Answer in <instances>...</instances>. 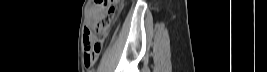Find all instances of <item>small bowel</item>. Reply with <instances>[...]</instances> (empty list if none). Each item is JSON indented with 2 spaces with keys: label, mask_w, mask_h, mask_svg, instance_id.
<instances>
[{
  "label": "small bowel",
  "mask_w": 267,
  "mask_h": 72,
  "mask_svg": "<svg viewBox=\"0 0 267 72\" xmlns=\"http://www.w3.org/2000/svg\"><path fill=\"white\" fill-rule=\"evenodd\" d=\"M87 30H88V29H87ZM84 37H85V36H84ZM98 56H99V54L97 55V58H98ZM85 58H86V54H85V51H84V63H85V65H86V67H91V64L88 63V62H86Z\"/></svg>",
  "instance_id": "small-bowel-1"
}]
</instances>
